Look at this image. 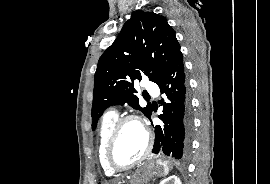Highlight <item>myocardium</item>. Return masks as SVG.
<instances>
[{
  "mask_svg": "<svg viewBox=\"0 0 270 184\" xmlns=\"http://www.w3.org/2000/svg\"><path fill=\"white\" fill-rule=\"evenodd\" d=\"M128 122H136L142 127V129L144 130V133L146 135V147H145V150L142 153V155L137 160H135L127 165H118L113 161L112 153H113L115 143L118 139V136L120 134L122 127ZM152 146H153L152 135L149 132V130L147 129V127L144 124V122L142 121V119L136 115L123 116V117L117 119V121L115 122V124L112 128V131L108 137L107 144L105 147V153H104L106 164L108 165V167L110 169H112L115 172L125 171L128 169H131V168L139 165L140 163H142L150 155L151 150H152Z\"/></svg>",
  "mask_w": 270,
  "mask_h": 184,
  "instance_id": "obj_1",
  "label": "myocardium"
}]
</instances>
